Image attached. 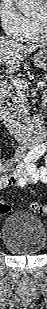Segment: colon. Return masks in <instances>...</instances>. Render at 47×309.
Masks as SVG:
<instances>
[{
    "label": "colon",
    "instance_id": "1",
    "mask_svg": "<svg viewBox=\"0 0 47 309\" xmlns=\"http://www.w3.org/2000/svg\"><path fill=\"white\" fill-rule=\"evenodd\" d=\"M30 208L33 211L39 212V213H44L46 211L45 206L37 201H33L30 203ZM10 211V206L8 204H0V214H7Z\"/></svg>",
    "mask_w": 47,
    "mask_h": 309
}]
</instances>
